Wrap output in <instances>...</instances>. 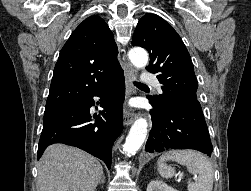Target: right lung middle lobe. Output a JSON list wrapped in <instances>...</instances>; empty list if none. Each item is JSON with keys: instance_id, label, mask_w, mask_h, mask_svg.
<instances>
[{"instance_id": "dd1d6c3e", "label": "right lung middle lobe", "mask_w": 251, "mask_h": 191, "mask_svg": "<svg viewBox=\"0 0 251 191\" xmlns=\"http://www.w3.org/2000/svg\"><path fill=\"white\" fill-rule=\"evenodd\" d=\"M70 106H72V105H70ZM70 106H66V107H62V108H58V109H53V110H45L44 115L52 113V112H55V111H58V110H62V109L68 108Z\"/></svg>"}]
</instances>
